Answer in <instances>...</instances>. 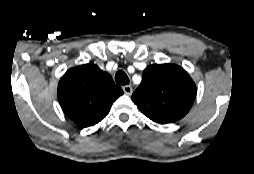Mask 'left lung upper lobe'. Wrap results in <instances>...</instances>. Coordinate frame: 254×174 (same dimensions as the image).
Here are the masks:
<instances>
[{"instance_id": "5c2ea615", "label": "left lung upper lobe", "mask_w": 254, "mask_h": 174, "mask_svg": "<svg viewBox=\"0 0 254 174\" xmlns=\"http://www.w3.org/2000/svg\"><path fill=\"white\" fill-rule=\"evenodd\" d=\"M197 93L188 73L178 65H150L131 99L154 122L165 124L183 118Z\"/></svg>"}]
</instances>
